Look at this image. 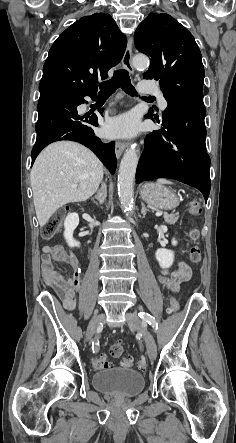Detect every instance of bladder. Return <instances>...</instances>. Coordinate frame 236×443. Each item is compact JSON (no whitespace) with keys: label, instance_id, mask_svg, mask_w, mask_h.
Here are the masks:
<instances>
[{"label":"bladder","instance_id":"bladder-1","mask_svg":"<svg viewBox=\"0 0 236 443\" xmlns=\"http://www.w3.org/2000/svg\"><path fill=\"white\" fill-rule=\"evenodd\" d=\"M94 388L102 393L129 398L140 393L145 386L144 376L130 368L103 370L92 378Z\"/></svg>","mask_w":236,"mask_h":443}]
</instances>
